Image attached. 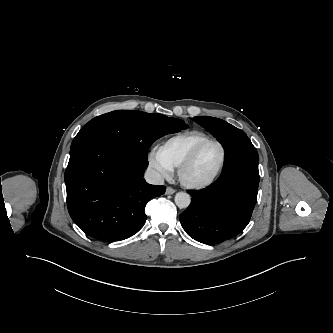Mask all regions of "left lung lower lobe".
Wrapping results in <instances>:
<instances>
[{
	"label": "left lung lower lobe",
	"mask_w": 333,
	"mask_h": 333,
	"mask_svg": "<svg viewBox=\"0 0 333 333\" xmlns=\"http://www.w3.org/2000/svg\"><path fill=\"white\" fill-rule=\"evenodd\" d=\"M224 171L215 183L189 191V207L180 214L186 233L196 241L218 244L243 231L257 200L258 153L247 136L225 148Z\"/></svg>",
	"instance_id": "1"
}]
</instances>
